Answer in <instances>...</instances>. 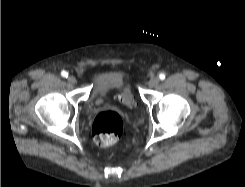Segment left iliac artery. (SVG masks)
<instances>
[{
  "mask_svg": "<svg viewBox=\"0 0 245 187\" xmlns=\"http://www.w3.org/2000/svg\"><path fill=\"white\" fill-rule=\"evenodd\" d=\"M159 78H160L161 80H164V79H165V74H164V73H160V74H159Z\"/></svg>",
  "mask_w": 245,
  "mask_h": 187,
  "instance_id": "obj_1",
  "label": "left iliac artery"
}]
</instances>
